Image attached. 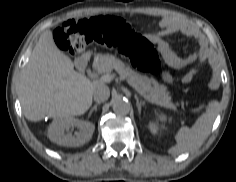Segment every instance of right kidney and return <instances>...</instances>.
Masks as SVG:
<instances>
[{
	"label": "right kidney",
	"instance_id": "right-kidney-1",
	"mask_svg": "<svg viewBox=\"0 0 236 182\" xmlns=\"http://www.w3.org/2000/svg\"><path fill=\"white\" fill-rule=\"evenodd\" d=\"M77 128L74 134L70 132ZM95 126L88 121H82L73 117L55 119L49 126V139L62 146L78 147L87 143L93 135Z\"/></svg>",
	"mask_w": 236,
	"mask_h": 182
}]
</instances>
